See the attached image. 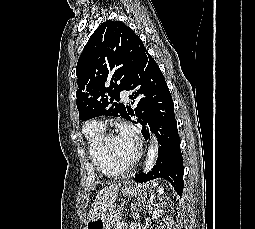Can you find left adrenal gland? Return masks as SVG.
<instances>
[{"label":"left adrenal gland","mask_w":255,"mask_h":229,"mask_svg":"<svg viewBox=\"0 0 255 229\" xmlns=\"http://www.w3.org/2000/svg\"><path fill=\"white\" fill-rule=\"evenodd\" d=\"M153 199H155V198H152V200H151V204H153V203H152V202H153ZM153 205H157V204H155V203H154Z\"/></svg>","instance_id":"obj_1"}]
</instances>
